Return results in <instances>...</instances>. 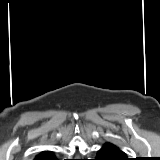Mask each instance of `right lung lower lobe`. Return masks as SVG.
<instances>
[{
	"instance_id": "98d812e1",
	"label": "right lung lower lobe",
	"mask_w": 160,
	"mask_h": 160,
	"mask_svg": "<svg viewBox=\"0 0 160 160\" xmlns=\"http://www.w3.org/2000/svg\"><path fill=\"white\" fill-rule=\"evenodd\" d=\"M34 160H57L54 153L51 151H42L36 155Z\"/></svg>"
}]
</instances>
